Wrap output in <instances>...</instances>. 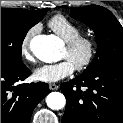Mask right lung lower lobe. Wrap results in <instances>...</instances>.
Returning a JSON list of instances; mask_svg holds the SVG:
<instances>
[{"label": "right lung lower lobe", "mask_w": 123, "mask_h": 123, "mask_svg": "<svg viewBox=\"0 0 123 123\" xmlns=\"http://www.w3.org/2000/svg\"><path fill=\"white\" fill-rule=\"evenodd\" d=\"M31 74L26 67H1V123H30L36 105L49 93L46 83H20Z\"/></svg>", "instance_id": "1"}]
</instances>
